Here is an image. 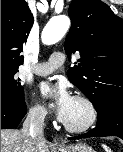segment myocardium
I'll use <instances>...</instances> for the list:
<instances>
[{"label": "myocardium", "mask_w": 123, "mask_h": 152, "mask_svg": "<svg viewBox=\"0 0 123 152\" xmlns=\"http://www.w3.org/2000/svg\"><path fill=\"white\" fill-rule=\"evenodd\" d=\"M75 100L82 102L88 109V119L87 121L79 126H74L63 121L64 128L71 133L82 134L88 132L90 129L94 127L98 120V110L95 103L84 94H76L73 97Z\"/></svg>", "instance_id": "1"}]
</instances>
